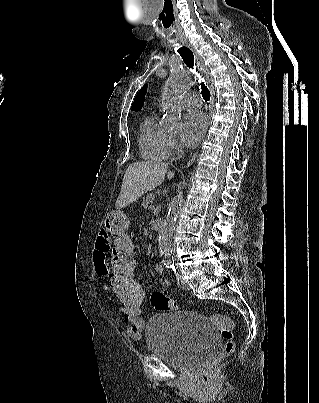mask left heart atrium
<instances>
[{
  "instance_id": "1",
  "label": "left heart atrium",
  "mask_w": 319,
  "mask_h": 403,
  "mask_svg": "<svg viewBox=\"0 0 319 403\" xmlns=\"http://www.w3.org/2000/svg\"><path fill=\"white\" fill-rule=\"evenodd\" d=\"M207 123L203 113L191 112L185 115L180 131L182 144L188 148L196 146L206 131Z\"/></svg>"
}]
</instances>
